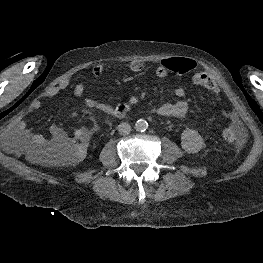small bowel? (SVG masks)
<instances>
[{
  "mask_svg": "<svg viewBox=\"0 0 263 263\" xmlns=\"http://www.w3.org/2000/svg\"><path fill=\"white\" fill-rule=\"evenodd\" d=\"M172 59H162L156 63L155 74L159 78H166L172 71L167 67V62ZM187 59V58H185ZM192 62L195 67V63L191 59H187ZM130 69L133 72H141L144 69V62L140 59H135L130 63ZM104 72V67L101 64H96L92 68V74L94 76H100ZM70 79L68 77L60 79L57 83L48 86L43 95L45 97H54L66 90L70 86ZM73 93L76 97L81 98L85 106L89 108L98 109L105 113H112L120 106H111L105 103L98 102L90 97L86 96L85 87L82 84H77L73 88ZM174 95L178 98L175 102L164 103L154 109V112L160 116L166 117H182L189 109L188 103L182 98L185 95V89L183 87H177L174 89ZM132 103H135L133 101ZM234 124L239 125L238 121L234 118ZM19 132L22 141L28 147V152L31 156L38 158L42 153L51 151L69 140V136L66 131L57 126L52 125L49 129L50 138H46L41 134L34 133L27 128L25 121H20ZM73 136H83L85 140L88 137V132L85 128H78L74 131Z\"/></svg>",
  "mask_w": 263,
  "mask_h": 263,
  "instance_id": "obj_1",
  "label": "small bowel"
}]
</instances>
